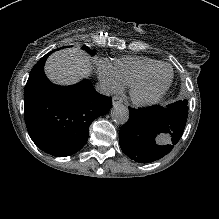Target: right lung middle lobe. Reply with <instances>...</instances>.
I'll list each match as a JSON object with an SVG mask.
<instances>
[{"label":"right lung middle lobe","mask_w":219,"mask_h":219,"mask_svg":"<svg viewBox=\"0 0 219 219\" xmlns=\"http://www.w3.org/2000/svg\"><path fill=\"white\" fill-rule=\"evenodd\" d=\"M83 49L85 50V51H87L89 54H92V51L90 50V48L89 47H83ZM93 55V54H92Z\"/></svg>","instance_id":"right-lung-middle-lobe-1"}]
</instances>
